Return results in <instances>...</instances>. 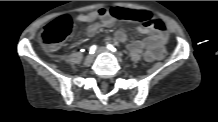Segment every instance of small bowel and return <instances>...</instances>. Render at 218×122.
I'll return each instance as SVG.
<instances>
[{
	"label": "small bowel",
	"instance_id": "1",
	"mask_svg": "<svg viewBox=\"0 0 218 122\" xmlns=\"http://www.w3.org/2000/svg\"><path fill=\"white\" fill-rule=\"evenodd\" d=\"M115 8H99L88 13L78 15L75 20L81 23H90L87 27V35L92 37L100 30L101 27H111L116 17L111 14V10ZM138 32L146 35L142 40L134 41L130 44V49L134 51H144V58L151 62L159 48H165L168 42V33L163 26L162 28H154L150 26H139ZM114 40L125 42L127 35L123 30H117L114 34Z\"/></svg>",
	"mask_w": 218,
	"mask_h": 122
}]
</instances>
